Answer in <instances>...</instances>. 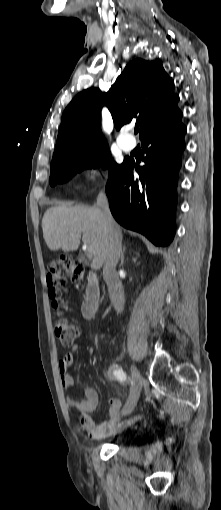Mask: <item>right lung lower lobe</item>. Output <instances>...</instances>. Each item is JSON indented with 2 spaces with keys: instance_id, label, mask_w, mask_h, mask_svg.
Masks as SVG:
<instances>
[{
  "instance_id": "right-lung-lower-lobe-1",
  "label": "right lung lower lobe",
  "mask_w": 221,
  "mask_h": 510,
  "mask_svg": "<svg viewBox=\"0 0 221 510\" xmlns=\"http://www.w3.org/2000/svg\"><path fill=\"white\" fill-rule=\"evenodd\" d=\"M186 130L179 119L143 135L145 165L136 167L133 160H124L106 185L114 218L157 246H168L175 234L176 187ZM134 169L139 179L134 178Z\"/></svg>"
}]
</instances>
